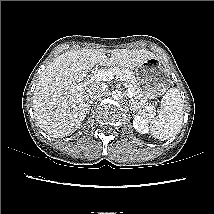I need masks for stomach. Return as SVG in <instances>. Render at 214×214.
I'll use <instances>...</instances> for the list:
<instances>
[{
    "mask_svg": "<svg viewBox=\"0 0 214 214\" xmlns=\"http://www.w3.org/2000/svg\"><path fill=\"white\" fill-rule=\"evenodd\" d=\"M169 64L160 57L147 59L135 68V77L138 83V92L134 99L139 102L155 99L164 93L173 84Z\"/></svg>",
    "mask_w": 214,
    "mask_h": 214,
    "instance_id": "obj_1",
    "label": "stomach"
}]
</instances>
